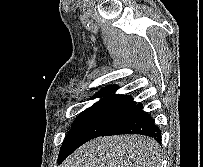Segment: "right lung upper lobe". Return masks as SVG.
Returning a JSON list of instances; mask_svg holds the SVG:
<instances>
[{
    "label": "right lung upper lobe",
    "instance_id": "1",
    "mask_svg": "<svg viewBox=\"0 0 203 167\" xmlns=\"http://www.w3.org/2000/svg\"><path fill=\"white\" fill-rule=\"evenodd\" d=\"M118 88L119 87L115 85L104 87L92 98L100 97L101 100L99 102L111 103L114 105L134 106L136 102L133 101L131 96L114 94Z\"/></svg>",
    "mask_w": 203,
    "mask_h": 167
}]
</instances>
